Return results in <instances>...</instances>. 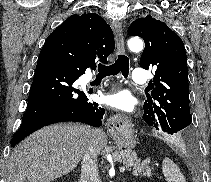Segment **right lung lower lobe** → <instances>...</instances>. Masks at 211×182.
<instances>
[{"label": "right lung lower lobe", "instance_id": "98d812e1", "mask_svg": "<svg viewBox=\"0 0 211 182\" xmlns=\"http://www.w3.org/2000/svg\"><path fill=\"white\" fill-rule=\"evenodd\" d=\"M88 67L94 68L87 63L79 43L67 32L65 25L48 36L39 54L27 110L13 136L12 147L34 131L57 122L102 125L105 110L90 102L74 85Z\"/></svg>", "mask_w": 211, "mask_h": 182}]
</instances>
